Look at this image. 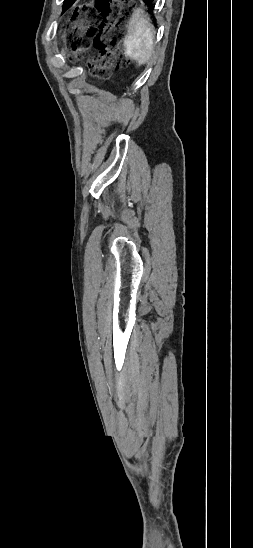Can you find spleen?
I'll return each mask as SVG.
<instances>
[{"label":"spleen","instance_id":"obj_1","mask_svg":"<svg viewBox=\"0 0 253 548\" xmlns=\"http://www.w3.org/2000/svg\"><path fill=\"white\" fill-rule=\"evenodd\" d=\"M154 44V29L141 9H137L129 22L124 39L125 55L138 65L145 64L151 57Z\"/></svg>","mask_w":253,"mask_h":548}]
</instances>
